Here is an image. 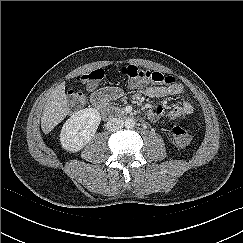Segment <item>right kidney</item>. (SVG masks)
Here are the masks:
<instances>
[{"instance_id":"obj_1","label":"right kidney","mask_w":243,"mask_h":243,"mask_svg":"<svg viewBox=\"0 0 243 243\" xmlns=\"http://www.w3.org/2000/svg\"><path fill=\"white\" fill-rule=\"evenodd\" d=\"M101 121L99 112L86 108L76 112L63 125L60 133L62 148L69 153L81 151L94 137Z\"/></svg>"}]
</instances>
